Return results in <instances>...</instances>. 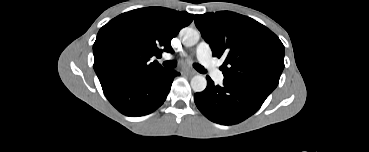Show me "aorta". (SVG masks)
Instances as JSON below:
<instances>
[{"label":"aorta","instance_id":"1","mask_svg":"<svg viewBox=\"0 0 369 152\" xmlns=\"http://www.w3.org/2000/svg\"><path fill=\"white\" fill-rule=\"evenodd\" d=\"M183 45L187 47L194 46L199 41V32L193 28L186 27L180 31ZM207 80L203 75H195L191 79V87L195 92H202L206 89Z\"/></svg>","mask_w":369,"mask_h":152}]
</instances>
